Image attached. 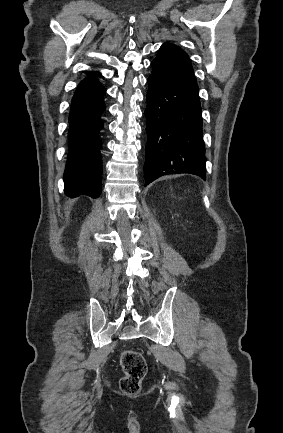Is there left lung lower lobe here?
Returning a JSON list of instances; mask_svg holds the SVG:
<instances>
[{
    "label": "left lung lower lobe",
    "instance_id": "left-lung-lower-lobe-1",
    "mask_svg": "<svg viewBox=\"0 0 283 433\" xmlns=\"http://www.w3.org/2000/svg\"><path fill=\"white\" fill-rule=\"evenodd\" d=\"M146 95L145 186L169 174L206 179L199 89L188 55L164 44L152 61Z\"/></svg>",
    "mask_w": 283,
    "mask_h": 433
}]
</instances>
